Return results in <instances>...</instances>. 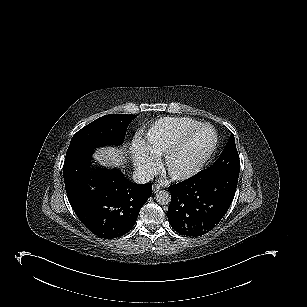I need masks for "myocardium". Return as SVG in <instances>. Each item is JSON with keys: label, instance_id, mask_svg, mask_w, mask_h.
Masks as SVG:
<instances>
[{"label": "myocardium", "instance_id": "1", "mask_svg": "<svg viewBox=\"0 0 307 307\" xmlns=\"http://www.w3.org/2000/svg\"><path fill=\"white\" fill-rule=\"evenodd\" d=\"M203 127H206L204 125L196 126L195 128L193 127L190 131H188L184 136H182L177 143L170 149V151L164 156L163 160L161 161V167L165 170L168 171V174L174 179V180H182L191 177L192 175H195L201 167L206 163L209 153L205 154V156L199 160L196 165L189 170L185 171H180V172H173L169 168V162L170 160L177 154V152L181 149V147L190 142L195 135L203 129ZM211 129V128H209ZM212 130V129H211ZM213 131V130H212Z\"/></svg>", "mask_w": 307, "mask_h": 307}]
</instances>
